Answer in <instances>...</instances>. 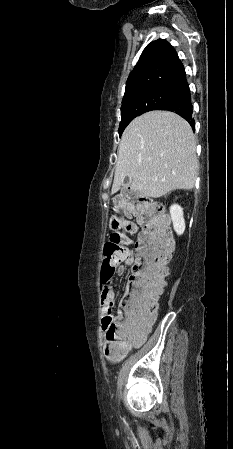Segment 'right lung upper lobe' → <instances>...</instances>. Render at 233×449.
<instances>
[{
	"label": "right lung upper lobe",
	"mask_w": 233,
	"mask_h": 449,
	"mask_svg": "<svg viewBox=\"0 0 233 449\" xmlns=\"http://www.w3.org/2000/svg\"><path fill=\"white\" fill-rule=\"evenodd\" d=\"M185 69L175 49L164 39L151 42L129 75L124 96L164 86L182 89L187 85Z\"/></svg>",
	"instance_id": "right-lung-upper-lobe-1"
}]
</instances>
